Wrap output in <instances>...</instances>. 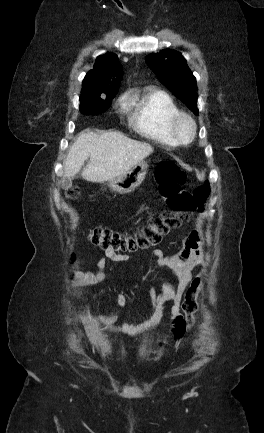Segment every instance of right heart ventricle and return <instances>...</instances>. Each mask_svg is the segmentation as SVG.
<instances>
[{
  "label": "right heart ventricle",
  "mask_w": 264,
  "mask_h": 433,
  "mask_svg": "<svg viewBox=\"0 0 264 433\" xmlns=\"http://www.w3.org/2000/svg\"><path fill=\"white\" fill-rule=\"evenodd\" d=\"M125 104L129 124L138 134L163 145H177L169 131V121L180 111L168 93L145 90L130 94Z\"/></svg>",
  "instance_id": "right-heart-ventricle-1"
}]
</instances>
